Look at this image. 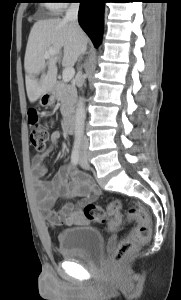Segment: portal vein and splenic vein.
<instances>
[{
	"mask_svg": "<svg viewBox=\"0 0 181 300\" xmlns=\"http://www.w3.org/2000/svg\"><path fill=\"white\" fill-rule=\"evenodd\" d=\"M58 54V50L50 49L48 52L45 53L44 58L50 59L52 56ZM75 75V70L73 67L65 68L62 73L63 81L68 82L70 81Z\"/></svg>",
	"mask_w": 181,
	"mask_h": 300,
	"instance_id": "1",
	"label": "portal vein and splenic vein"
}]
</instances>
